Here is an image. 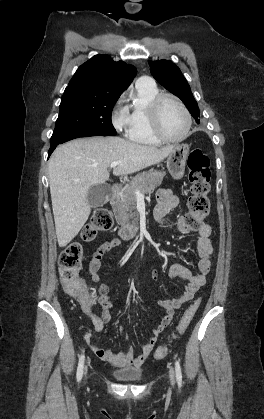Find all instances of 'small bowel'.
<instances>
[{
  "label": "small bowel",
  "instance_id": "obj_1",
  "mask_svg": "<svg viewBox=\"0 0 264 419\" xmlns=\"http://www.w3.org/2000/svg\"><path fill=\"white\" fill-rule=\"evenodd\" d=\"M179 204V197L170 189H162L158 193V205L155 208L154 216L157 222L164 225L175 227L182 233H189L190 227L185 223L181 217L171 218L170 212ZM211 228L208 224H203L198 230L197 234V255L199 261L197 263L196 273H193L189 268L182 264H174L169 269V276L171 278H180L186 281V285L182 293L173 299H162L159 301L160 307L164 310V316L152 329L151 336L145 344L141 346L140 353L135 355L134 350L130 348L124 352H114L110 349L104 348L92 340V333H86L84 339L89 345L93 353L100 359L110 363L116 367L134 366L140 367L152 352L157 343L158 337L171 323L175 310L193 299L195 293L205 284L206 275L210 272L212 265L213 246L210 239ZM121 239L114 237L109 241L102 243L93 255L89 264V274L91 280L95 283L100 282L99 270L103 257L112 249L121 245ZM150 277L157 281L159 276L156 271L150 273ZM98 299L102 307L101 316H97L91 311L86 313L93 323L94 332H101L106 323L111 320L110 308L112 307L110 298V289L105 284H100L98 287ZM121 331L123 329L121 328Z\"/></svg>",
  "mask_w": 264,
  "mask_h": 419
}]
</instances>
